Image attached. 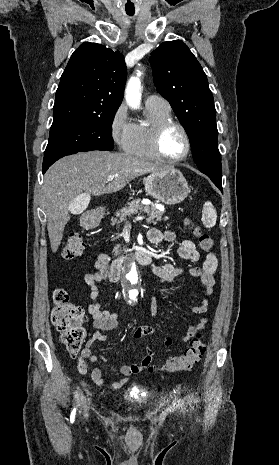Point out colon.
Wrapping results in <instances>:
<instances>
[{
  "label": "colon",
  "instance_id": "colon-1",
  "mask_svg": "<svg viewBox=\"0 0 279 465\" xmlns=\"http://www.w3.org/2000/svg\"><path fill=\"white\" fill-rule=\"evenodd\" d=\"M186 225L192 229L198 239L200 248L203 251H209L213 248L212 238L201 232L194 226L191 220H185ZM85 251V243L79 234H70L62 251L65 260L71 261L80 257ZM53 310L51 322L56 330L61 333L62 343L66 349L73 355L79 353L84 342L86 331L83 326L85 313L80 306L70 301L68 293L63 289H57L53 294ZM205 352V344L202 335L199 333L192 340L190 346L180 356L169 359L164 365H153L149 367L151 373L161 370L167 372L188 371L197 364Z\"/></svg>",
  "mask_w": 279,
  "mask_h": 465
}]
</instances>
